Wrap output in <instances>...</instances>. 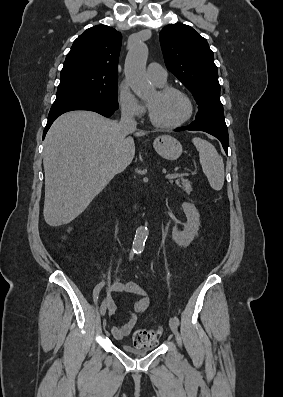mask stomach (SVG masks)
<instances>
[{
    "mask_svg": "<svg viewBox=\"0 0 283 397\" xmlns=\"http://www.w3.org/2000/svg\"><path fill=\"white\" fill-rule=\"evenodd\" d=\"M153 146L156 152L167 160H176L182 154V145L170 135H161L157 137Z\"/></svg>",
    "mask_w": 283,
    "mask_h": 397,
    "instance_id": "0dacf381",
    "label": "stomach"
}]
</instances>
